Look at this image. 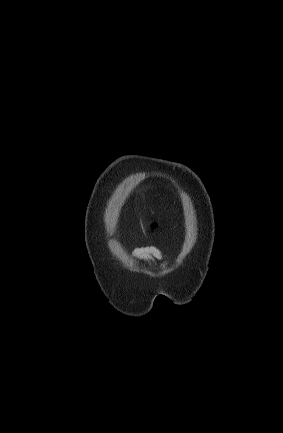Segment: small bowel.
I'll use <instances>...</instances> for the list:
<instances>
[{"label": "small bowel", "mask_w": 283, "mask_h": 433, "mask_svg": "<svg viewBox=\"0 0 283 433\" xmlns=\"http://www.w3.org/2000/svg\"><path fill=\"white\" fill-rule=\"evenodd\" d=\"M132 256L137 261L146 262L152 268H156L158 262H160L161 267L165 268L169 257L168 254L154 245L136 247L132 250Z\"/></svg>", "instance_id": "c3829d8e"}]
</instances>
